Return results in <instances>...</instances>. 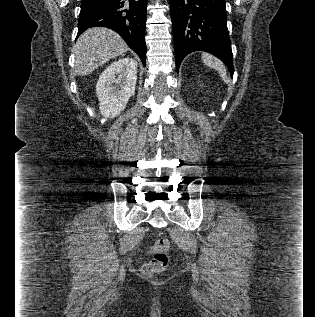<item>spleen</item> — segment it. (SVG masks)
Returning <instances> with one entry per match:
<instances>
[{
    "mask_svg": "<svg viewBox=\"0 0 315 317\" xmlns=\"http://www.w3.org/2000/svg\"><path fill=\"white\" fill-rule=\"evenodd\" d=\"M201 57H202V61L208 67L213 68V69L218 71V73L220 74V76L222 77V79L225 83L228 82V78L226 75V68L221 61H219L217 58H215L214 56L207 54V53H203Z\"/></svg>",
    "mask_w": 315,
    "mask_h": 317,
    "instance_id": "1",
    "label": "spleen"
}]
</instances>
